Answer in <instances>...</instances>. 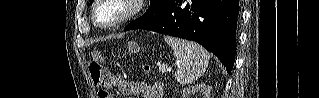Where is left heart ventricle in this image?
<instances>
[{
	"label": "left heart ventricle",
	"mask_w": 319,
	"mask_h": 98,
	"mask_svg": "<svg viewBox=\"0 0 319 98\" xmlns=\"http://www.w3.org/2000/svg\"><path fill=\"white\" fill-rule=\"evenodd\" d=\"M127 10V5L120 1H106L98 8L97 19L101 24H108L120 18Z\"/></svg>",
	"instance_id": "b2bd125f"
}]
</instances>
